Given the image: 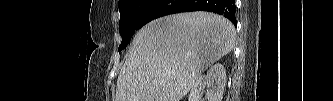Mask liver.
I'll list each match as a JSON object with an SVG mask.
<instances>
[{"label": "liver", "instance_id": "obj_1", "mask_svg": "<svg viewBox=\"0 0 333 101\" xmlns=\"http://www.w3.org/2000/svg\"><path fill=\"white\" fill-rule=\"evenodd\" d=\"M234 45L235 27L221 15L196 11L155 19L133 39L116 101H181Z\"/></svg>", "mask_w": 333, "mask_h": 101}]
</instances>
